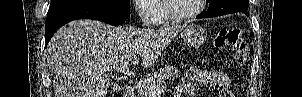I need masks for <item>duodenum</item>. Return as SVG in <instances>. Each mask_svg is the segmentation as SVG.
Segmentation results:
<instances>
[{
    "label": "duodenum",
    "instance_id": "410a0bca",
    "mask_svg": "<svg viewBox=\"0 0 302 97\" xmlns=\"http://www.w3.org/2000/svg\"><path fill=\"white\" fill-rule=\"evenodd\" d=\"M122 97H135V89L132 86H127L124 89Z\"/></svg>",
    "mask_w": 302,
    "mask_h": 97
}]
</instances>
